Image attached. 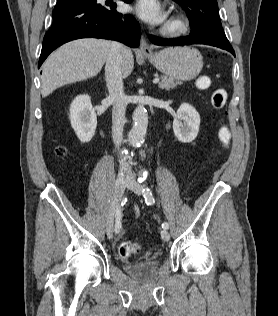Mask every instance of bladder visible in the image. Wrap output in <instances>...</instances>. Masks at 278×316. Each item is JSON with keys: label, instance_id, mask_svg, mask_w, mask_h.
<instances>
[{"label": "bladder", "instance_id": "1", "mask_svg": "<svg viewBox=\"0 0 278 316\" xmlns=\"http://www.w3.org/2000/svg\"><path fill=\"white\" fill-rule=\"evenodd\" d=\"M159 267V261L156 259L147 260L138 264H126L125 270L138 277H152L154 276Z\"/></svg>", "mask_w": 278, "mask_h": 316}]
</instances>
